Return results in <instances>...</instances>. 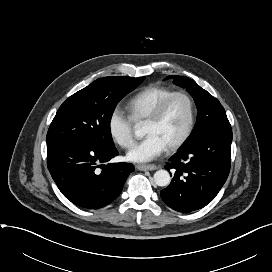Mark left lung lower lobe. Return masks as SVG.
Segmentation results:
<instances>
[{
	"label": "left lung lower lobe",
	"mask_w": 272,
	"mask_h": 272,
	"mask_svg": "<svg viewBox=\"0 0 272 272\" xmlns=\"http://www.w3.org/2000/svg\"><path fill=\"white\" fill-rule=\"evenodd\" d=\"M232 131L204 136L169 159L174 169L170 185L160 192L163 201L179 212H191L210 203L230 171Z\"/></svg>",
	"instance_id": "1"
}]
</instances>
